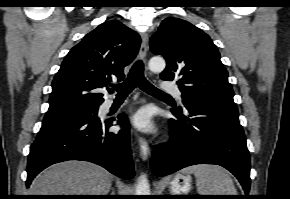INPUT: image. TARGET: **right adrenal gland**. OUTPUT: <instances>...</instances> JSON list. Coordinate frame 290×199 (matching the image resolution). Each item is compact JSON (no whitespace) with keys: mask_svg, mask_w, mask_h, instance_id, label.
Wrapping results in <instances>:
<instances>
[{"mask_svg":"<svg viewBox=\"0 0 290 199\" xmlns=\"http://www.w3.org/2000/svg\"><path fill=\"white\" fill-rule=\"evenodd\" d=\"M111 195H115L114 188H111Z\"/></svg>","mask_w":290,"mask_h":199,"instance_id":"right-adrenal-gland-1","label":"right adrenal gland"}]
</instances>
